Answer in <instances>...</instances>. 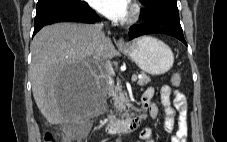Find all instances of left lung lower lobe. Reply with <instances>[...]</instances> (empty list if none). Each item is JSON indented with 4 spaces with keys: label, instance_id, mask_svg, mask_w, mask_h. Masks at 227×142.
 Masks as SVG:
<instances>
[{
    "label": "left lung lower lobe",
    "instance_id": "0a47b994",
    "mask_svg": "<svg viewBox=\"0 0 227 142\" xmlns=\"http://www.w3.org/2000/svg\"><path fill=\"white\" fill-rule=\"evenodd\" d=\"M145 21L129 29L130 40L145 34L161 33L173 36L187 45L179 21V15L157 10L144 17Z\"/></svg>",
    "mask_w": 227,
    "mask_h": 142
}]
</instances>
